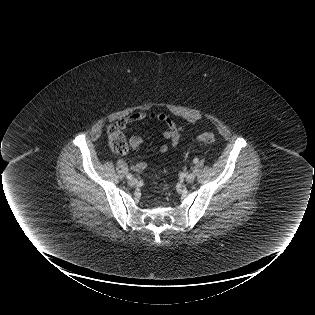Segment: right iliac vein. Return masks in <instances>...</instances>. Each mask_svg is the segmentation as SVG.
Masks as SVG:
<instances>
[{
  "instance_id": "63e3f726",
  "label": "right iliac vein",
  "mask_w": 315,
  "mask_h": 315,
  "mask_svg": "<svg viewBox=\"0 0 315 315\" xmlns=\"http://www.w3.org/2000/svg\"><path fill=\"white\" fill-rule=\"evenodd\" d=\"M137 179L136 178H131V179H129L128 180V184L130 185V186H135L136 184H137Z\"/></svg>"
}]
</instances>
